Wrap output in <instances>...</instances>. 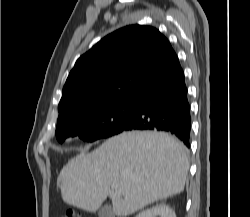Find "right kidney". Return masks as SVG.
Segmentation results:
<instances>
[{"instance_id": "ca27d5eb", "label": "right kidney", "mask_w": 250, "mask_h": 217, "mask_svg": "<svg viewBox=\"0 0 250 217\" xmlns=\"http://www.w3.org/2000/svg\"><path fill=\"white\" fill-rule=\"evenodd\" d=\"M136 217H176V214L168 205L158 204L140 212Z\"/></svg>"}]
</instances>
